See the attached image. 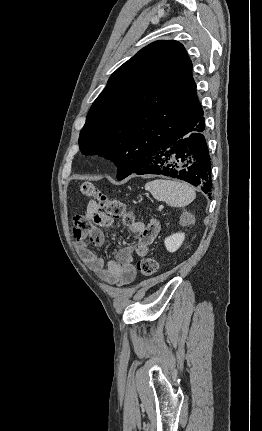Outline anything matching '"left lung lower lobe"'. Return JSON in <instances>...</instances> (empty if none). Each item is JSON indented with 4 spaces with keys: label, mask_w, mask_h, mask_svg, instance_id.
I'll return each instance as SVG.
<instances>
[{
    "label": "left lung lower lobe",
    "mask_w": 262,
    "mask_h": 431,
    "mask_svg": "<svg viewBox=\"0 0 262 431\" xmlns=\"http://www.w3.org/2000/svg\"><path fill=\"white\" fill-rule=\"evenodd\" d=\"M204 131L202 114L143 155L130 174L170 176L210 193L211 161Z\"/></svg>",
    "instance_id": "left-lung-lower-lobe-1"
}]
</instances>
